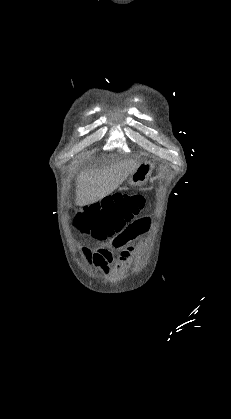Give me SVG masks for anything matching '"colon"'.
I'll return each mask as SVG.
<instances>
[{
	"label": "colon",
	"mask_w": 231,
	"mask_h": 419,
	"mask_svg": "<svg viewBox=\"0 0 231 419\" xmlns=\"http://www.w3.org/2000/svg\"><path fill=\"white\" fill-rule=\"evenodd\" d=\"M143 206L139 195L115 193L87 208L88 225L99 239L121 232Z\"/></svg>",
	"instance_id": "obj_1"
}]
</instances>
